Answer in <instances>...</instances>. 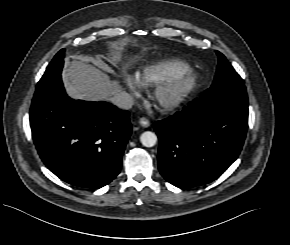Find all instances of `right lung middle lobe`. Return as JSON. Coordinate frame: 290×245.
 Wrapping results in <instances>:
<instances>
[{
	"instance_id": "dd1d6c3e",
	"label": "right lung middle lobe",
	"mask_w": 290,
	"mask_h": 245,
	"mask_svg": "<svg viewBox=\"0 0 290 245\" xmlns=\"http://www.w3.org/2000/svg\"><path fill=\"white\" fill-rule=\"evenodd\" d=\"M64 51L65 50L62 49L55 55L39 82L54 79L61 74L65 57Z\"/></svg>"
}]
</instances>
